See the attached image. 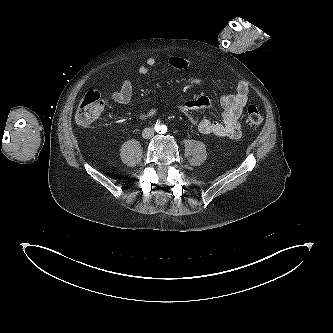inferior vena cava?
Listing matches in <instances>:
<instances>
[{
	"label": "inferior vena cava",
	"mask_w": 333,
	"mask_h": 333,
	"mask_svg": "<svg viewBox=\"0 0 333 333\" xmlns=\"http://www.w3.org/2000/svg\"><path fill=\"white\" fill-rule=\"evenodd\" d=\"M153 135H154L153 128H145L142 132L143 138H146V139L153 137Z\"/></svg>",
	"instance_id": "obj_1"
}]
</instances>
